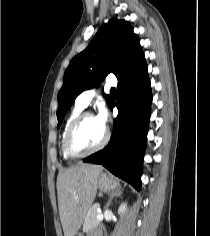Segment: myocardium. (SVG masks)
Returning a JSON list of instances; mask_svg holds the SVG:
<instances>
[{"label": "myocardium", "instance_id": "myocardium-1", "mask_svg": "<svg viewBox=\"0 0 210 236\" xmlns=\"http://www.w3.org/2000/svg\"><path fill=\"white\" fill-rule=\"evenodd\" d=\"M88 117H94L93 113L81 112L79 115H77L73 119V121L70 123L66 131L65 139H64V149H65L66 154L71 158H79V157H84V156L93 154L101 150L102 148H104L109 141L110 134H109V131L105 129L104 137L98 145L90 149H84V150L76 149L74 147L73 139H74L75 132L80 126V124Z\"/></svg>", "mask_w": 210, "mask_h": 236}]
</instances>
